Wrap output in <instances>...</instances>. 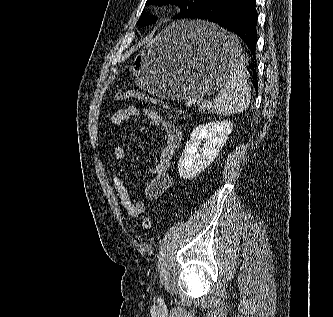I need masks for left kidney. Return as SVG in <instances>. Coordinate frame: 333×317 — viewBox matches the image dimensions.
<instances>
[{
	"label": "left kidney",
	"instance_id": "obj_1",
	"mask_svg": "<svg viewBox=\"0 0 333 317\" xmlns=\"http://www.w3.org/2000/svg\"><path fill=\"white\" fill-rule=\"evenodd\" d=\"M233 129L228 121L211 122L197 126L191 133L178 163L181 178L199 175L219 155ZM203 142L202 147H199Z\"/></svg>",
	"mask_w": 333,
	"mask_h": 317
}]
</instances>
